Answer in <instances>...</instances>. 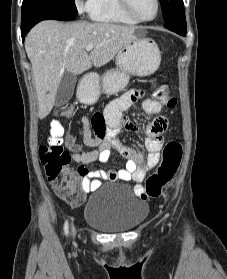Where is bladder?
I'll use <instances>...</instances> for the list:
<instances>
[{"label": "bladder", "mask_w": 227, "mask_h": 279, "mask_svg": "<svg viewBox=\"0 0 227 279\" xmlns=\"http://www.w3.org/2000/svg\"><path fill=\"white\" fill-rule=\"evenodd\" d=\"M147 213V204L132 189L109 184L89 199L84 221L103 231H127L140 225Z\"/></svg>", "instance_id": "bladder-1"}]
</instances>
